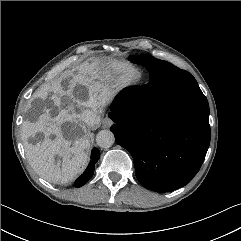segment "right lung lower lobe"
Here are the masks:
<instances>
[{"mask_svg":"<svg viewBox=\"0 0 241 241\" xmlns=\"http://www.w3.org/2000/svg\"><path fill=\"white\" fill-rule=\"evenodd\" d=\"M99 157V150L97 148H93L91 153V161L85 172L75 181V187H81L91 179L94 174L95 163L98 161Z\"/></svg>","mask_w":241,"mask_h":241,"instance_id":"right-lung-lower-lobe-1","label":"right lung lower lobe"}]
</instances>
